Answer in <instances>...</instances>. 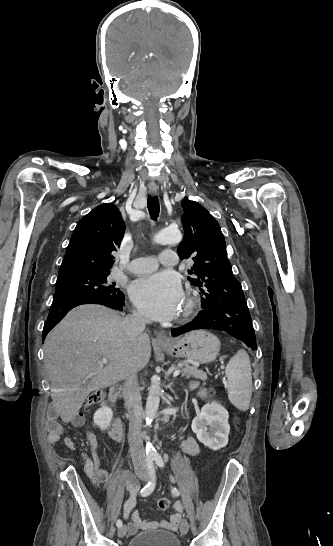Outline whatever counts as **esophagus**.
<instances>
[{
	"label": "esophagus",
	"instance_id": "34e87169",
	"mask_svg": "<svg viewBox=\"0 0 333 546\" xmlns=\"http://www.w3.org/2000/svg\"><path fill=\"white\" fill-rule=\"evenodd\" d=\"M158 192V188L155 184H150L149 185V193L152 195V196H155ZM156 341L159 343V344H169L170 343V340L166 337V335L164 333H159L156 337Z\"/></svg>",
	"mask_w": 333,
	"mask_h": 546
}]
</instances>
